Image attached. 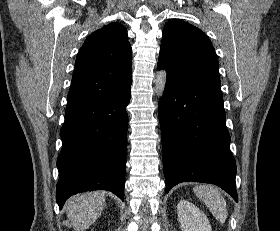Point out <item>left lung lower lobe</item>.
<instances>
[{
	"label": "left lung lower lobe",
	"mask_w": 280,
	"mask_h": 231,
	"mask_svg": "<svg viewBox=\"0 0 280 231\" xmlns=\"http://www.w3.org/2000/svg\"><path fill=\"white\" fill-rule=\"evenodd\" d=\"M158 110L166 193L181 182H204L238 202L221 89L167 80Z\"/></svg>",
	"instance_id": "left-lung-lower-lobe-1"
}]
</instances>
